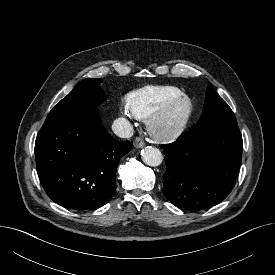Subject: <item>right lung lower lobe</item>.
<instances>
[{
    "label": "right lung lower lobe",
    "mask_w": 275,
    "mask_h": 275,
    "mask_svg": "<svg viewBox=\"0 0 275 275\" xmlns=\"http://www.w3.org/2000/svg\"><path fill=\"white\" fill-rule=\"evenodd\" d=\"M102 126L98 111L43 125L35 142L37 173L47 195L73 210L103 206L115 192L118 161L131 150Z\"/></svg>",
    "instance_id": "1"
}]
</instances>
